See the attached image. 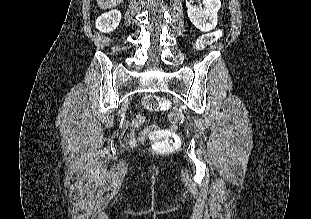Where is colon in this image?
I'll return each instance as SVG.
<instances>
[{
	"label": "colon",
	"mask_w": 311,
	"mask_h": 219,
	"mask_svg": "<svg viewBox=\"0 0 311 219\" xmlns=\"http://www.w3.org/2000/svg\"><path fill=\"white\" fill-rule=\"evenodd\" d=\"M212 38L202 39L199 41L198 45L202 46L203 43ZM143 107L149 111H159L168 109L169 105L166 100L155 95L149 94L143 100ZM149 137L152 141L153 147L156 151L161 153H169L174 150L178 144L179 140L176 134L168 130H158L156 128H151L148 131ZM125 141V137L123 138Z\"/></svg>",
	"instance_id": "colon-1"
}]
</instances>
